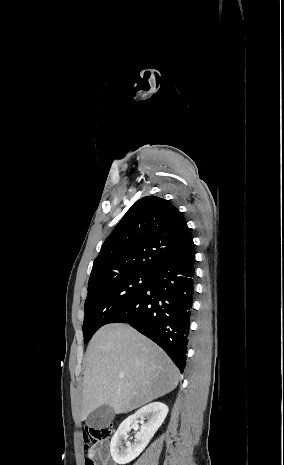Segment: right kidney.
<instances>
[{"instance_id":"1","label":"right kidney","mask_w":284,"mask_h":465,"mask_svg":"<svg viewBox=\"0 0 284 465\" xmlns=\"http://www.w3.org/2000/svg\"><path fill=\"white\" fill-rule=\"evenodd\" d=\"M168 411L169 409L164 403H150V405H145V407L136 411L134 415L127 417L111 439L110 453L115 463L126 465V463H130V461L136 459L147 447L159 427H161L164 419L167 417ZM136 419H140L139 423L141 427L139 433H136L134 437V443H130V441H127V437L130 429H132L130 425ZM123 441H126L125 447H123Z\"/></svg>"}]
</instances>
